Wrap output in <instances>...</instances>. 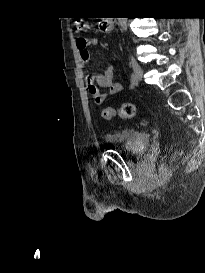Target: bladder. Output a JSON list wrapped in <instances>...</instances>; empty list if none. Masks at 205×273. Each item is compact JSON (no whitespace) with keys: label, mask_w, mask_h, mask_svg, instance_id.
Returning a JSON list of instances; mask_svg holds the SVG:
<instances>
[{"label":"bladder","mask_w":205,"mask_h":273,"mask_svg":"<svg viewBox=\"0 0 205 273\" xmlns=\"http://www.w3.org/2000/svg\"><path fill=\"white\" fill-rule=\"evenodd\" d=\"M104 139L115 149L132 156L144 153L149 147L148 135L134 128L108 130L104 133Z\"/></svg>","instance_id":"31cf9c89"}]
</instances>
